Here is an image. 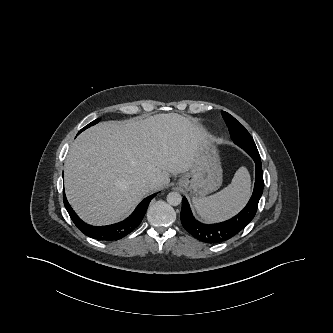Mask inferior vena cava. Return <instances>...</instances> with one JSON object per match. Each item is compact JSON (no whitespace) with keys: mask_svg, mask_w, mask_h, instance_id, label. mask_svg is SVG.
<instances>
[{"mask_svg":"<svg viewBox=\"0 0 333 333\" xmlns=\"http://www.w3.org/2000/svg\"><path fill=\"white\" fill-rule=\"evenodd\" d=\"M155 183H156L155 180H150V181H149V185H154Z\"/></svg>","mask_w":333,"mask_h":333,"instance_id":"1","label":"inferior vena cava"}]
</instances>
